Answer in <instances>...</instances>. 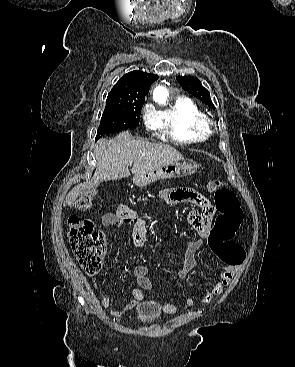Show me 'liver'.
Segmentation results:
<instances>
[{
	"instance_id": "obj_1",
	"label": "liver",
	"mask_w": 295,
	"mask_h": 367,
	"mask_svg": "<svg viewBox=\"0 0 295 367\" xmlns=\"http://www.w3.org/2000/svg\"><path fill=\"white\" fill-rule=\"evenodd\" d=\"M96 170L91 181L75 186L66 196L64 205H71L86 189L99 182L122 179L155 170L175 161L183 160L182 154L165 144L135 140L129 132H122L116 138L100 139L95 147Z\"/></svg>"
}]
</instances>
